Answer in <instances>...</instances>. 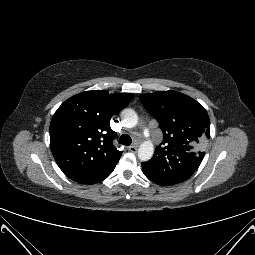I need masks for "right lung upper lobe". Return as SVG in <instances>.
Listing matches in <instances>:
<instances>
[{
    "mask_svg": "<svg viewBox=\"0 0 255 255\" xmlns=\"http://www.w3.org/2000/svg\"><path fill=\"white\" fill-rule=\"evenodd\" d=\"M130 93L86 91L66 100L50 123V147L60 169L82 184L103 181L122 151L113 145L111 117L130 103Z\"/></svg>",
    "mask_w": 255,
    "mask_h": 255,
    "instance_id": "right-lung-upper-lobe-1",
    "label": "right lung upper lobe"
}]
</instances>
